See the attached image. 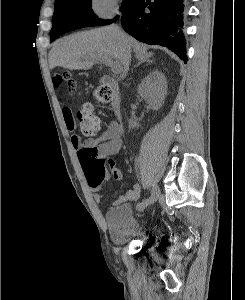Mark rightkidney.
I'll return each mask as SVG.
<instances>
[{
	"mask_svg": "<svg viewBox=\"0 0 245 300\" xmlns=\"http://www.w3.org/2000/svg\"><path fill=\"white\" fill-rule=\"evenodd\" d=\"M138 93L147 101L153 110L160 109L167 94L165 75L158 70L149 73L140 83ZM138 126L139 125L132 119L129 120V128Z\"/></svg>",
	"mask_w": 245,
	"mask_h": 300,
	"instance_id": "right-kidney-1",
	"label": "right kidney"
}]
</instances>
